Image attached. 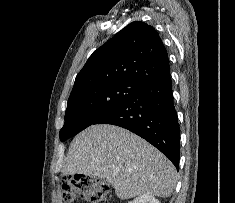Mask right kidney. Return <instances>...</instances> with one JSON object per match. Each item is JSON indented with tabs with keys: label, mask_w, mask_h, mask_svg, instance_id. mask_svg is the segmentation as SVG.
Returning <instances> with one entry per match:
<instances>
[{
	"label": "right kidney",
	"mask_w": 235,
	"mask_h": 203,
	"mask_svg": "<svg viewBox=\"0 0 235 203\" xmlns=\"http://www.w3.org/2000/svg\"><path fill=\"white\" fill-rule=\"evenodd\" d=\"M128 203H160L158 199L149 194H143Z\"/></svg>",
	"instance_id": "ca27d5eb"
}]
</instances>
